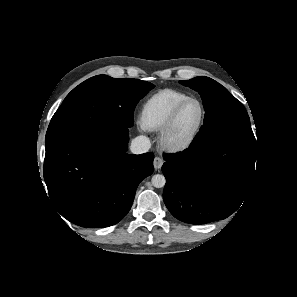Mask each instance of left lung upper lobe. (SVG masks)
Returning a JSON list of instances; mask_svg holds the SVG:
<instances>
[{"label": "left lung upper lobe", "instance_id": "obj_1", "mask_svg": "<svg viewBox=\"0 0 297 297\" xmlns=\"http://www.w3.org/2000/svg\"><path fill=\"white\" fill-rule=\"evenodd\" d=\"M180 83L200 94L205 110L204 124L191 144L234 138L256 146L244 106L225 87L205 76L182 80Z\"/></svg>", "mask_w": 297, "mask_h": 297}]
</instances>
